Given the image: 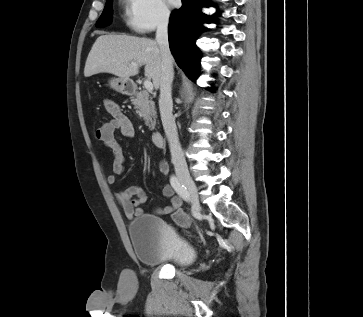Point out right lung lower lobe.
I'll list each match as a JSON object with an SVG mask.
<instances>
[{"label": "right lung lower lobe", "instance_id": "1", "mask_svg": "<svg viewBox=\"0 0 363 317\" xmlns=\"http://www.w3.org/2000/svg\"><path fill=\"white\" fill-rule=\"evenodd\" d=\"M206 0H182V7L174 11L169 23V44L171 52L181 69L194 80L199 62V52L195 39L202 30V23H210L209 16L203 14Z\"/></svg>", "mask_w": 363, "mask_h": 317}]
</instances>
